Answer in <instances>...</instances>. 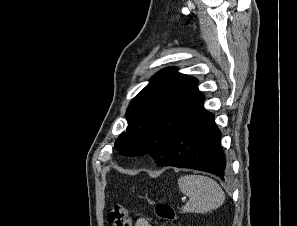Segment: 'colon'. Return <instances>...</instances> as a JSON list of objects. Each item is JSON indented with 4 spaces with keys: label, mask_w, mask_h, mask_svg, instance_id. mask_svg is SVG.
Listing matches in <instances>:
<instances>
[{
    "label": "colon",
    "mask_w": 297,
    "mask_h": 226,
    "mask_svg": "<svg viewBox=\"0 0 297 226\" xmlns=\"http://www.w3.org/2000/svg\"><path fill=\"white\" fill-rule=\"evenodd\" d=\"M155 212L157 217L164 221H173L176 218L173 207L167 203H158ZM107 220L111 226H131L128 211L120 204L114 205L109 210Z\"/></svg>",
    "instance_id": "5ec220e1"
}]
</instances>
